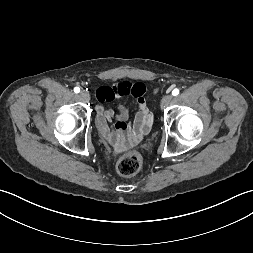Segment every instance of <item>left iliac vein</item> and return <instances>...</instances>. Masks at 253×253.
I'll use <instances>...</instances> for the list:
<instances>
[{"instance_id": "left-iliac-vein-1", "label": "left iliac vein", "mask_w": 253, "mask_h": 253, "mask_svg": "<svg viewBox=\"0 0 253 253\" xmlns=\"http://www.w3.org/2000/svg\"><path fill=\"white\" fill-rule=\"evenodd\" d=\"M172 99H173L172 95H165L162 99V104L164 106H168L171 103Z\"/></svg>"}]
</instances>
